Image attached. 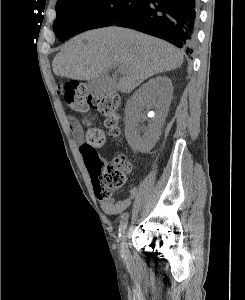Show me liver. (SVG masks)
I'll return each mask as SVG.
<instances>
[{"instance_id":"1","label":"liver","mask_w":245,"mask_h":300,"mask_svg":"<svg viewBox=\"0 0 245 300\" xmlns=\"http://www.w3.org/2000/svg\"><path fill=\"white\" fill-rule=\"evenodd\" d=\"M183 63V54L171 44L131 29L90 30L68 41L54 57L55 75L90 81L117 67L116 90L130 93L149 77Z\"/></svg>"}]
</instances>
